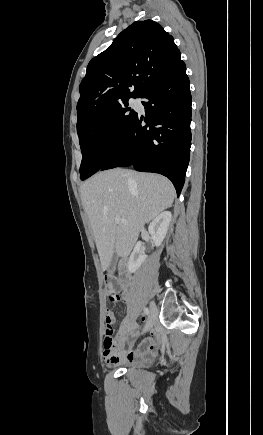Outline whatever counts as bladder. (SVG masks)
<instances>
[{
	"mask_svg": "<svg viewBox=\"0 0 263 435\" xmlns=\"http://www.w3.org/2000/svg\"><path fill=\"white\" fill-rule=\"evenodd\" d=\"M142 366H143V362H136V363L128 365V367H131V368H140Z\"/></svg>",
	"mask_w": 263,
	"mask_h": 435,
	"instance_id": "1",
	"label": "bladder"
}]
</instances>
